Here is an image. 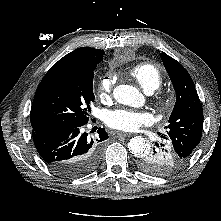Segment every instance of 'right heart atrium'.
<instances>
[{"instance_id":"d8ad5b80","label":"right heart atrium","mask_w":221,"mask_h":221,"mask_svg":"<svg viewBox=\"0 0 221 221\" xmlns=\"http://www.w3.org/2000/svg\"><path fill=\"white\" fill-rule=\"evenodd\" d=\"M115 78L112 74L107 73L101 77L97 86V96L101 100H107L110 97Z\"/></svg>"}]
</instances>
